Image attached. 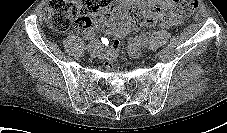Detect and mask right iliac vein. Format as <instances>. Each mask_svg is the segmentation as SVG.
I'll use <instances>...</instances> for the list:
<instances>
[{
    "label": "right iliac vein",
    "instance_id": "1",
    "mask_svg": "<svg viewBox=\"0 0 227 133\" xmlns=\"http://www.w3.org/2000/svg\"><path fill=\"white\" fill-rule=\"evenodd\" d=\"M101 54V51L99 50V48H93L90 50V55L92 57H97Z\"/></svg>",
    "mask_w": 227,
    "mask_h": 133
}]
</instances>
